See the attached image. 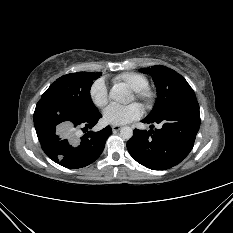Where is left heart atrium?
Listing matches in <instances>:
<instances>
[{
  "mask_svg": "<svg viewBox=\"0 0 233 233\" xmlns=\"http://www.w3.org/2000/svg\"><path fill=\"white\" fill-rule=\"evenodd\" d=\"M142 115V108L132 103L129 105H109L103 112V120L111 125H125L137 120Z\"/></svg>",
  "mask_w": 233,
  "mask_h": 233,
  "instance_id": "obj_1",
  "label": "left heart atrium"
}]
</instances>
